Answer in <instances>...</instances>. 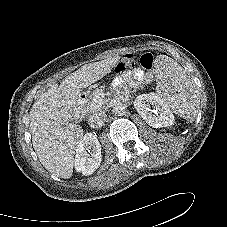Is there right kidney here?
<instances>
[{
	"instance_id": "right-kidney-1",
	"label": "right kidney",
	"mask_w": 227,
	"mask_h": 227,
	"mask_svg": "<svg viewBox=\"0 0 227 227\" xmlns=\"http://www.w3.org/2000/svg\"><path fill=\"white\" fill-rule=\"evenodd\" d=\"M101 161V145L96 134H85L76 148L74 160L76 171L86 176L91 175L100 166Z\"/></svg>"
}]
</instances>
